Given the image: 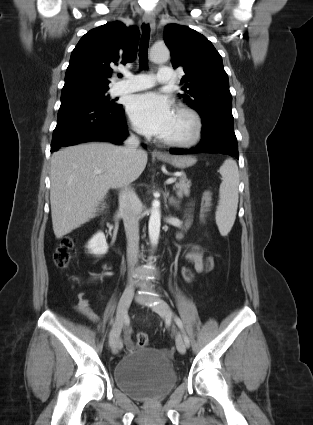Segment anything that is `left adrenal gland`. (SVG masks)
<instances>
[{"instance_id":"obj_1","label":"left adrenal gland","mask_w":313,"mask_h":425,"mask_svg":"<svg viewBox=\"0 0 313 425\" xmlns=\"http://www.w3.org/2000/svg\"><path fill=\"white\" fill-rule=\"evenodd\" d=\"M167 195H169V192H167ZM168 201H169V205H172V206H174L177 210H179V201H178V200H176V198H174V197H170V198L168 199Z\"/></svg>"}]
</instances>
